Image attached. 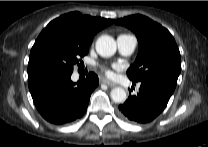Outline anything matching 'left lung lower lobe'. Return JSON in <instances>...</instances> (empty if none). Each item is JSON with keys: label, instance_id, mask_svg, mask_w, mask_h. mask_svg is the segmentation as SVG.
<instances>
[{"label": "left lung lower lobe", "instance_id": "0a47b994", "mask_svg": "<svg viewBox=\"0 0 208 147\" xmlns=\"http://www.w3.org/2000/svg\"><path fill=\"white\" fill-rule=\"evenodd\" d=\"M140 83L137 95L129 96L125 103L119 106V113L127 121L148 123L165 109L176 86L157 78Z\"/></svg>", "mask_w": 208, "mask_h": 147}]
</instances>
